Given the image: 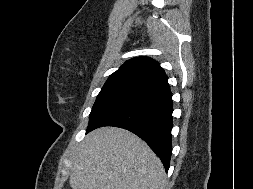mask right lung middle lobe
I'll return each instance as SVG.
<instances>
[{
  "label": "right lung middle lobe",
  "instance_id": "obj_1",
  "mask_svg": "<svg viewBox=\"0 0 253 189\" xmlns=\"http://www.w3.org/2000/svg\"><path fill=\"white\" fill-rule=\"evenodd\" d=\"M147 94L146 91L127 87L102 88L89 115L88 128L116 110L131 104Z\"/></svg>",
  "mask_w": 253,
  "mask_h": 189
}]
</instances>
